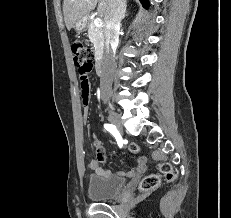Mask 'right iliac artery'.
I'll use <instances>...</instances> for the list:
<instances>
[{
  "label": "right iliac artery",
  "instance_id": "obj_1",
  "mask_svg": "<svg viewBox=\"0 0 231 218\" xmlns=\"http://www.w3.org/2000/svg\"><path fill=\"white\" fill-rule=\"evenodd\" d=\"M105 129L108 130L111 134H113V136L116 138L117 143L119 145V147H122L123 141L122 138L119 134V132L117 131L116 127L112 124H105L104 125Z\"/></svg>",
  "mask_w": 231,
  "mask_h": 218
}]
</instances>
